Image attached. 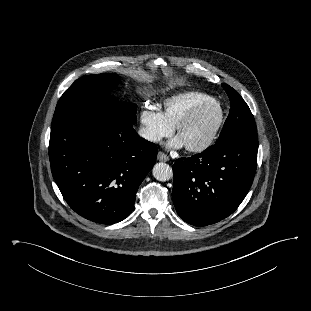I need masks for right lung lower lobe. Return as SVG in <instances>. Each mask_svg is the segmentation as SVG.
Returning <instances> with one entry per match:
<instances>
[{
	"label": "right lung lower lobe",
	"mask_w": 311,
	"mask_h": 311,
	"mask_svg": "<svg viewBox=\"0 0 311 311\" xmlns=\"http://www.w3.org/2000/svg\"><path fill=\"white\" fill-rule=\"evenodd\" d=\"M158 148L119 117L83 119L54 127L49 159L54 180L80 216L114 224L129 216Z\"/></svg>",
	"instance_id": "right-lung-lower-lobe-1"
}]
</instances>
